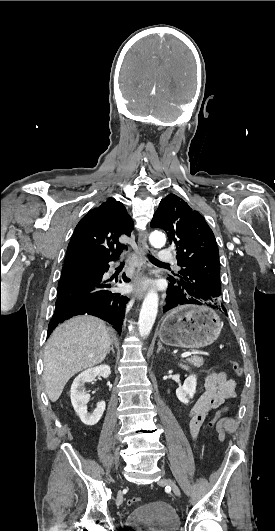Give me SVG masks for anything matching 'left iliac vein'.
I'll use <instances>...</instances> for the list:
<instances>
[{
  "mask_svg": "<svg viewBox=\"0 0 275 531\" xmlns=\"http://www.w3.org/2000/svg\"><path fill=\"white\" fill-rule=\"evenodd\" d=\"M165 484L166 486H170L173 493L180 497L181 496V492H180V489L179 487L177 486V484L170 478H161L160 480V484Z\"/></svg>",
  "mask_w": 275,
  "mask_h": 531,
  "instance_id": "left-iliac-vein-1",
  "label": "left iliac vein"
}]
</instances>
